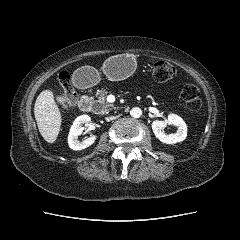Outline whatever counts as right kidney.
<instances>
[{
    "label": "right kidney",
    "instance_id": "1",
    "mask_svg": "<svg viewBox=\"0 0 240 240\" xmlns=\"http://www.w3.org/2000/svg\"><path fill=\"white\" fill-rule=\"evenodd\" d=\"M90 121L91 118L88 115H81L74 120L68 135V144L71 149L76 151L83 150L95 142L97 138L95 135L90 136L82 142L78 140V136L81 135L84 130V127L82 125L84 123L87 125Z\"/></svg>",
    "mask_w": 240,
    "mask_h": 240
}]
</instances>
